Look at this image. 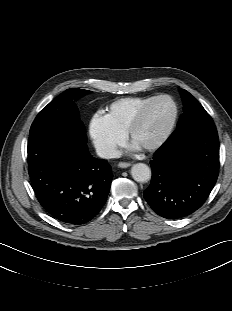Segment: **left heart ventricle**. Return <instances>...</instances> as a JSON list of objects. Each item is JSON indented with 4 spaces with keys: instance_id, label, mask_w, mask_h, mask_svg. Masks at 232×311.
I'll use <instances>...</instances> for the list:
<instances>
[{
    "instance_id": "obj_1",
    "label": "left heart ventricle",
    "mask_w": 232,
    "mask_h": 311,
    "mask_svg": "<svg viewBox=\"0 0 232 311\" xmlns=\"http://www.w3.org/2000/svg\"><path fill=\"white\" fill-rule=\"evenodd\" d=\"M172 114L173 107L169 101L160 100L154 103L133 132L131 144L144 148L154 142L168 125Z\"/></svg>"
}]
</instances>
